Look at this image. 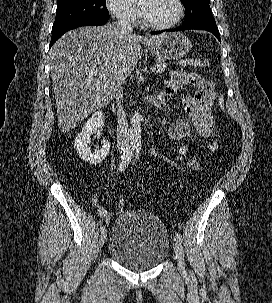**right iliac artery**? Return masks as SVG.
Here are the masks:
<instances>
[{"instance_id":"82829eb1","label":"right iliac artery","mask_w":272,"mask_h":303,"mask_svg":"<svg viewBox=\"0 0 272 303\" xmlns=\"http://www.w3.org/2000/svg\"><path fill=\"white\" fill-rule=\"evenodd\" d=\"M136 148L135 144H130V146L127 149V153L126 156L122 159V161L120 162V164L118 165V171L119 172H124L125 169L127 168V166L129 165V163L131 162V159L133 157V153L134 150ZM106 230L105 226H102L100 228V232H104Z\"/></svg>"}]
</instances>
